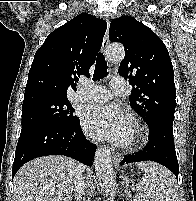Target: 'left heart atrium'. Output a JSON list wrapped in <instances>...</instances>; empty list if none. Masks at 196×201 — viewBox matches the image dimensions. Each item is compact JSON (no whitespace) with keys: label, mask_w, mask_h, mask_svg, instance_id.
Here are the masks:
<instances>
[{"label":"left heart atrium","mask_w":196,"mask_h":201,"mask_svg":"<svg viewBox=\"0 0 196 201\" xmlns=\"http://www.w3.org/2000/svg\"><path fill=\"white\" fill-rule=\"evenodd\" d=\"M82 125L93 138L107 139L118 145L128 143L134 130L131 114L108 104L87 107L82 115Z\"/></svg>","instance_id":"left-heart-atrium-1"}]
</instances>
